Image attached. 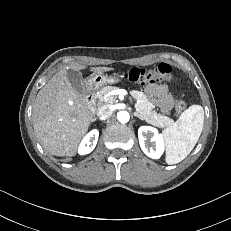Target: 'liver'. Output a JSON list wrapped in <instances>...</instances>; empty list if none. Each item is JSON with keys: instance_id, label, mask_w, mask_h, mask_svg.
I'll list each match as a JSON object with an SVG mask.
<instances>
[{"instance_id": "6515ba94", "label": "liver", "mask_w": 231, "mask_h": 231, "mask_svg": "<svg viewBox=\"0 0 231 231\" xmlns=\"http://www.w3.org/2000/svg\"><path fill=\"white\" fill-rule=\"evenodd\" d=\"M85 65L72 63L59 70L38 92L32 119L35 134L46 151L55 156L72 157L93 122L95 110L71 85L67 70L79 71ZM114 70L92 67L94 73Z\"/></svg>"}]
</instances>
